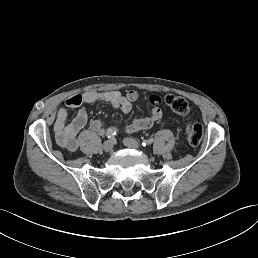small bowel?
Instances as JSON below:
<instances>
[{
  "mask_svg": "<svg viewBox=\"0 0 258 258\" xmlns=\"http://www.w3.org/2000/svg\"><path fill=\"white\" fill-rule=\"evenodd\" d=\"M138 98L139 95L135 90H129L125 94L119 91H86L68 97L65 100V106L66 108L74 109L84 104L103 102L110 104L112 107L119 108L122 112L128 114ZM160 102L161 98L159 96H150L151 114L146 117L134 118L126 126L125 131L127 133H135L151 128L162 118V110L159 107ZM66 108H60L57 112L54 122V134L59 146L73 152L78 149V134L87 124L88 114L86 110L80 109L74 119L68 122ZM89 131L102 135L105 132L104 124L100 120H93L89 123Z\"/></svg>",
  "mask_w": 258,
  "mask_h": 258,
  "instance_id": "c3829d8e",
  "label": "small bowel"
}]
</instances>
